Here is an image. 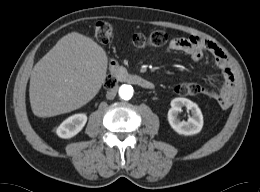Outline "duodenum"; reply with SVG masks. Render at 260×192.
I'll return each instance as SVG.
<instances>
[{
    "mask_svg": "<svg viewBox=\"0 0 260 192\" xmlns=\"http://www.w3.org/2000/svg\"><path fill=\"white\" fill-rule=\"evenodd\" d=\"M111 76L116 82L128 83L131 85L139 86L144 89L154 88L153 82L141 75L131 74L123 67H114L111 70Z\"/></svg>",
    "mask_w": 260,
    "mask_h": 192,
    "instance_id": "obj_1",
    "label": "duodenum"
}]
</instances>
